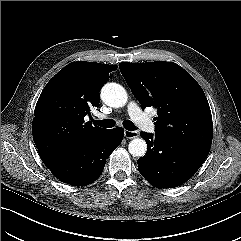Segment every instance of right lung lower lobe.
<instances>
[{
    "label": "right lung lower lobe",
    "mask_w": 241,
    "mask_h": 241,
    "mask_svg": "<svg viewBox=\"0 0 241 241\" xmlns=\"http://www.w3.org/2000/svg\"><path fill=\"white\" fill-rule=\"evenodd\" d=\"M123 136L122 128L107 129L92 142L43 162L60 181L73 186L88 185L101 175L106 159L121 144Z\"/></svg>",
    "instance_id": "98d812e1"
}]
</instances>
